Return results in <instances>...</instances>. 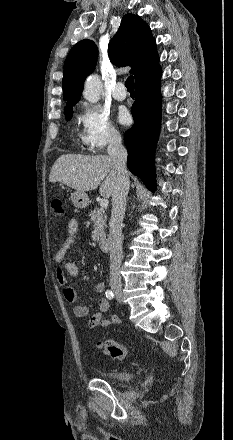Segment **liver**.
<instances>
[{
	"label": "liver",
	"mask_w": 233,
	"mask_h": 440,
	"mask_svg": "<svg viewBox=\"0 0 233 440\" xmlns=\"http://www.w3.org/2000/svg\"><path fill=\"white\" fill-rule=\"evenodd\" d=\"M49 181L62 182L76 191L86 192L100 185V195L111 196L116 172L107 155H62L52 166ZM102 182V183H101Z\"/></svg>",
	"instance_id": "1"
}]
</instances>
